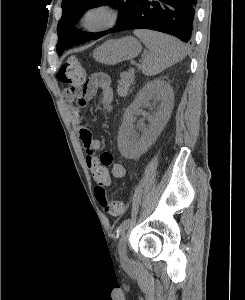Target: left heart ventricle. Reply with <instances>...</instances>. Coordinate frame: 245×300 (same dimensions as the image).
<instances>
[{"label":"left heart ventricle","instance_id":"1","mask_svg":"<svg viewBox=\"0 0 245 300\" xmlns=\"http://www.w3.org/2000/svg\"><path fill=\"white\" fill-rule=\"evenodd\" d=\"M102 21H103V15L101 14H94L89 19L90 25L93 26L100 24Z\"/></svg>","mask_w":245,"mask_h":300}]
</instances>
